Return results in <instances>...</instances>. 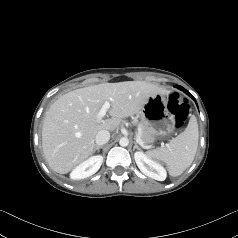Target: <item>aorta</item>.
Listing matches in <instances>:
<instances>
[{
  "label": "aorta",
  "instance_id": "1",
  "mask_svg": "<svg viewBox=\"0 0 238 238\" xmlns=\"http://www.w3.org/2000/svg\"><path fill=\"white\" fill-rule=\"evenodd\" d=\"M120 146L126 147L129 144V139L126 137H122L119 141Z\"/></svg>",
  "mask_w": 238,
  "mask_h": 238
}]
</instances>
